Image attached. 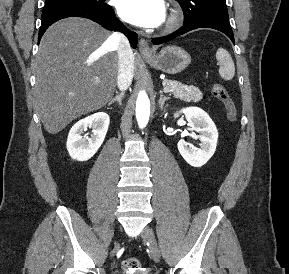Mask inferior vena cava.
<instances>
[{
	"label": "inferior vena cava",
	"mask_w": 289,
	"mask_h": 274,
	"mask_svg": "<svg viewBox=\"0 0 289 274\" xmlns=\"http://www.w3.org/2000/svg\"><path fill=\"white\" fill-rule=\"evenodd\" d=\"M111 40L117 46L119 70L117 77V86L120 90H126L132 82L134 73V55L128 39L115 33L111 36Z\"/></svg>",
	"instance_id": "602c4592"
}]
</instances>
